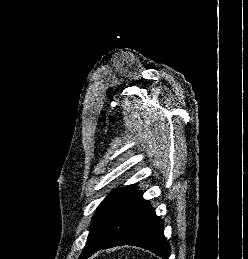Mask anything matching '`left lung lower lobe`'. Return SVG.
Here are the masks:
<instances>
[{
  "instance_id": "left-lung-lower-lobe-1",
  "label": "left lung lower lobe",
  "mask_w": 248,
  "mask_h": 259,
  "mask_svg": "<svg viewBox=\"0 0 248 259\" xmlns=\"http://www.w3.org/2000/svg\"><path fill=\"white\" fill-rule=\"evenodd\" d=\"M163 222L149 202L137 199L102 225L88 240L79 259L94 252L121 245H135L169 259L170 246L163 233Z\"/></svg>"
}]
</instances>
